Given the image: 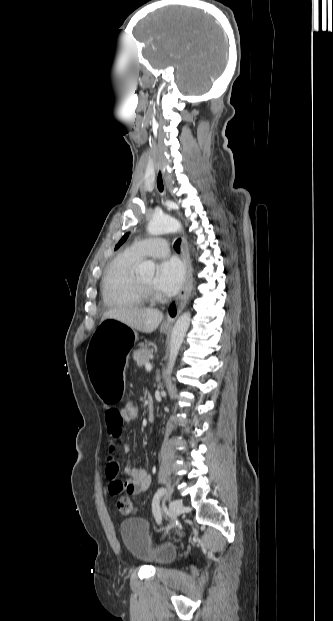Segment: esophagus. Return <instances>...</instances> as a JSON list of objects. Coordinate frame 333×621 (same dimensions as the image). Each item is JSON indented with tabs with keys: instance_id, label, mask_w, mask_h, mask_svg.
Here are the masks:
<instances>
[{
	"instance_id": "obj_1",
	"label": "esophagus",
	"mask_w": 333,
	"mask_h": 621,
	"mask_svg": "<svg viewBox=\"0 0 333 621\" xmlns=\"http://www.w3.org/2000/svg\"><path fill=\"white\" fill-rule=\"evenodd\" d=\"M156 188L161 195H163L166 191L164 175L159 168L157 169ZM181 250L182 258L186 266L185 286L179 298L170 304L167 312V317L162 323L163 326H170L173 324L177 316L182 312L183 308L185 307L193 287L191 262L187 247V241L184 236H182Z\"/></svg>"
}]
</instances>
